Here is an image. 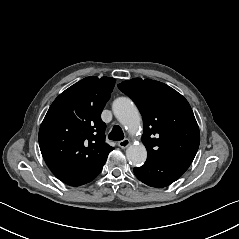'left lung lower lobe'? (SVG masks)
I'll return each instance as SVG.
<instances>
[{
    "mask_svg": "<svg viewBox=\"0 0 239 239\" xmlns=\"http://www.w3.org/2000/svg\"><path fill=\"white\" fill-rule=\"evenodd\" d=\"M190 162L183 161H146L140 168H134V174L143 183L163 188L179 179L189 168Z\"/></svg>",
    "mask_w": 239,
    "mask_h": 239,
    "instance_id": "obj_1",
    "label": "left lung lower lobe"
}]
</instances>
